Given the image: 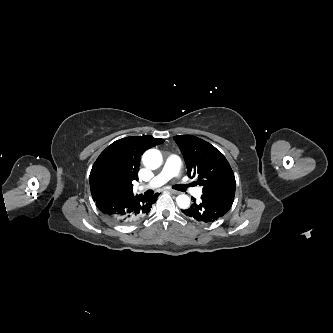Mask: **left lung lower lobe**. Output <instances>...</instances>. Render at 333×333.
<instances>
[{"mask_svg":"<svg viewBox=\"0 0 333 333\" xmlns=\"http://www.w3.org/2000/svg\"><path fill=\"white\" fill-rule=\"evenodd\" d=\"M201 199L202 201L194 202L190 208L182 210V212L197 221L209 223L225 215L232 206L231 203L206 196H201Z\"/></svg>","mask_w":333,"mask_h":333,"instance_id":"1","label":"left lung lower lobe"}]
</instances>
